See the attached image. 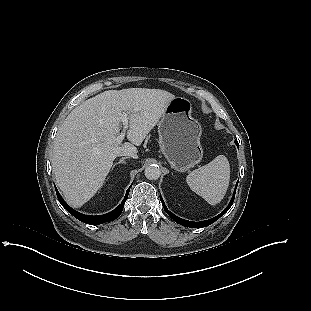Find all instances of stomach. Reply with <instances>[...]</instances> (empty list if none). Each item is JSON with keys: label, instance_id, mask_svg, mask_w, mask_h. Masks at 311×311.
Segmentation results:
<instances>
[{"label": "stomach", "instance_id": "obj_1", "mask_svg": "<svg viewBox=\"0 0 311 311\" xmlns=\"http://www.w3.org/2000/svg\"><path fill=\"white\" fill-rule=\"evenodd\" d=\"M191 101L175 97L167 105L158 124L160 150L171 168L186 172L203 157L201 127L192 115Z\"/></svg>", "mask_w": 311, "mask_h": 311}]
</instances>
